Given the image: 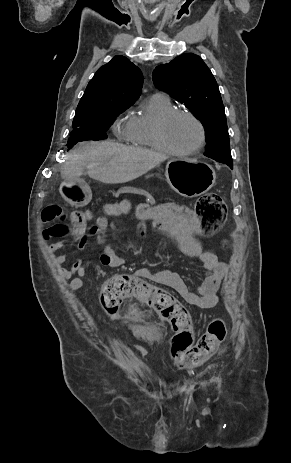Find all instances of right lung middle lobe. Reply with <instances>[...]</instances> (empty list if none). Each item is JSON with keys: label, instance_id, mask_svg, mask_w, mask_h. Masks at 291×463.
I'll list each match as a JSON object with an SVG mask.
<instances>
[{"label": "right lung middle lobe", "instance_id": "1", "mask_svg": "<svg viewBox=\"0 0 291 463\" xmlns=\"http://www.w3.org/2000/svg\"><path fill=\"white\" fill-rule=\"evenodd\" d=\"M132 104L108 102L98 108L75 114L73 130L67 146L72 148L76 143L86 140H102L107 138L106 131L115 118Z\"/></svg>", "mask_w": 291, "mask_h": 463}]
</instances>
